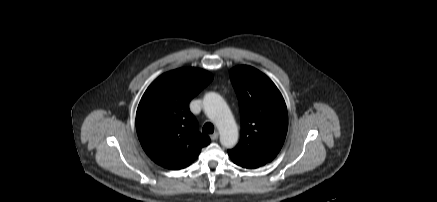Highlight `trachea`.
I'll return each mask as SVG.
<instances>
[{
	"instance_id": "3493384b",
	"label": "trachea",
	"mask_w": 437,
	"mask_h": 202,
	"mask_svg": "<svg viewBox=\"0 0 437 202\" xmlns=\"http://www.w3.org/2000/svg\"><path fill=\"white\" fill-rule=\"evenodd\" d=\"M203 133L206 134H212L214 132V126L212 123L207 122L204 124L203 128H202Z\"/></svg>"
}]
</instances>
